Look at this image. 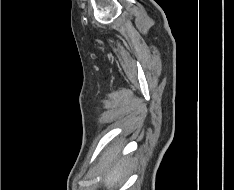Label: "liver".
<instances>
[{
  "label": "liver",
  "mask_w": 234,
  "mask_h": 190,
  "mask_svg": "<svg viewBox=\"0 0 234 190\" xmlns=\"http://www.w3.org/2000/svg\"><path fill=\"white\" fill-rule=\"evenodd\" d=\"M116 155L112 154L108 158V162L110 164L109 170L105 174L104 183L107 188H112L123 176V164L120 165L116 163L113 165L112 162L115 159Z\"/></svg>",
  "instance_id": "obj_1"
}]
</instances>
